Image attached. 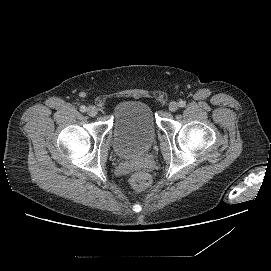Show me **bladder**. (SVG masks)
<instances>
[{
  "label": "bladder",
  "instance_id": "bladder-1",
  "mask_svg": "<svg viewBox=\"0 0 271 271\" xmlns=\"http://www.w3.org/2000/svg\"><path fill=\"white\" fill-rule=\"evenodd\" d=\"M156 125L150 106L141 101H124L114 110L113 145L124 158L146 153L155 141Z\"/></svg>",
  "mask_w": 271,
  "mask_h": 271
}]
</instances>
